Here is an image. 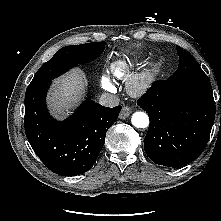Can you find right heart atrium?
<instances>
[{
    "label": "right heart atrium",
    "mask_w": 221,
    "mask_h": 221,
    "mask_svg": "<svg viewBox=\"0 0 221 221\" xmlns=\"http://www.w3.org/2000/svg\"><path fill=\"white\" fill-rule=\"evenodd\" d=\"M100 82H101L102 87L107 91H113L115 89L110 77L106 74H103L101 76Z\"/></svg>",
    "instance_id": "d8ad5b80"
}]
</instances>
